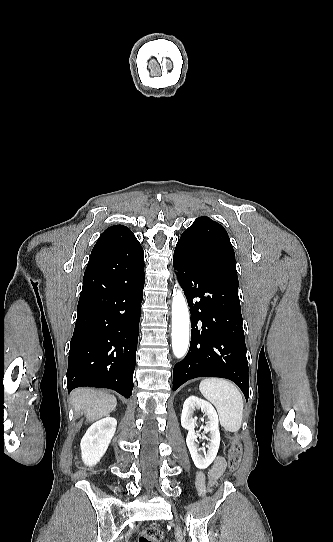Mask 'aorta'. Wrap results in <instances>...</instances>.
Listing matches in <instances>:
<instances>
[{"label": "aorta", "instance_id": "762f6f07", "mask_svg": "<svg viewBox=\"0 0 333 542\" xmlns=\"http://www.w3.org/2000/svg\"><path fill=\"white\" fill-rule=\"evenodd\" d=\"M171 336L175 358H184L189 348V310L181 290H177L172 302Z\"/></svg>", "mask_w": 333, "mask_h": 542}]
</instances>
